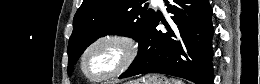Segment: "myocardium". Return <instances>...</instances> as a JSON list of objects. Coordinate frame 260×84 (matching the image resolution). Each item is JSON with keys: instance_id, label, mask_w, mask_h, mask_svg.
Instances as JSON below:
<instances>
[{"instance_id": "myocardium-1", "label": "myocardium", "mask_w": 260, "mask_h": 84, "mask_svg": "<svg viewBox=\"0 0 260 84\" xmlns=\"http://www.w3.org/2000/svg\"><path fill=\"white\" fill-rule=\"evenodd\" d=\"M109 43L117 46L121 50V57L117 66L109 73L101 77H92L86 69V61L90 53L99 45ZM139 55V45L136 39L124 32H105L95 37L83 50L79 69L85 79L92 83H101L119 77L126 72L137 60Z\"/></svg>"}]
</instances>
